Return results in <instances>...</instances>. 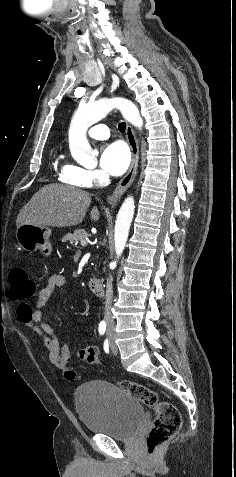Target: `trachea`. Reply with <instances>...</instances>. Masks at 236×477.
I'll list each match as a JSON object with an SVG mask.
<instances>
[{"mask_svg": "<svg viewBox=\"0 0 236 477\" xmlns=\"http://www.w3.org/2000/svg\"><path fill=\"white\" fill-rule=\"evenodd\" d=\"M118 129H119L120 132H125L126 123H124V122L119 123Z\"/></svg>", "mask_w": 236, "mask_h": 477, "instance_id": "1", "label": "trachea"}]
</instances>
